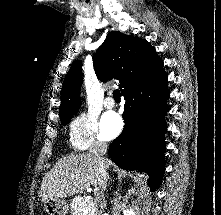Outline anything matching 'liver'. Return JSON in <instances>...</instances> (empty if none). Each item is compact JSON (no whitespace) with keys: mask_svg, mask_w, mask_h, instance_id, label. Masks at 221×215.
<instances>
[{"mask_svg":"<svg viewBox=\"0 0 221 215\" xmlns=\"http://www.w3.org/2000/svg\"><path fill=\"white\" fill-rule=\"evenodd\" d=\"M111 166L112 163L108 160L106 169ZM97 174L98 163L91 153L63 157L43 178L40 197L43 202H46L83 192L90 186H94Z\"/></svg>","mask_w":221,"mask_h":215,"instance_id":"1","label":"liver"}]
</instances>
